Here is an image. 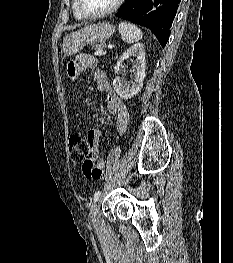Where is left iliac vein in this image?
Wrapping results in <instances>:
<instances>
[{
	"label": "left iliac vein",
	"instance_id": "1",
	"mask_svg": "<svg viewBox=\"0 0 233 263\" xmlns=\"http://www.w3.org/2000/svg\"><path fill=\"white\" fill-rule=\"evenodd\" d=\"M91 218L94 226H98L100 224L99 220V205L96 203L93 205L91 209Z\"/></svg>",
	"mask_w": 233,
	"mask_h": 263
}]
</instances>
